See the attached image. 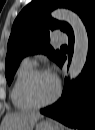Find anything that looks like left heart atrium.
I'll return each mask as SVG.
<instances>
[{
	"label": "left heart atrium",
	"instance_id": "obj_1",
	"mask_svg": "<svg viewBox=\"0 0 95 130\" xmlns=\"http://www.w3.org/2000/svg\"><path fill=\"white\" fill-rule=\"evenodd\" d=\"M49 74L55 79V75L52 72H49Z\"/></svg>",
	"mask_w": 95,
	"mask_h": 130
}]
</instances>
